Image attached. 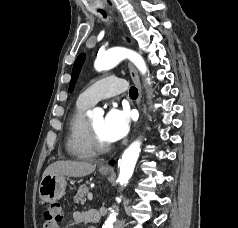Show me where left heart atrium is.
Masks as SVG:
<instances>
[{
  "label": "left heart atrium",
  "instance_id": "1",
  "mask_svg": "<svg viewBox=\"0 0 238 228\" xmlns=\"http://www.w3.org/2000/svg\"><path fill=\"white\" fill-rule=\"evenodd\" d=\"M130 129V114L127 110L111 108L105 118L103 124V134L106 140L117 142L124 138Z\"/></svg>",
  "mask_w": 238,
  "mask_h": 228
}]
</instances>
